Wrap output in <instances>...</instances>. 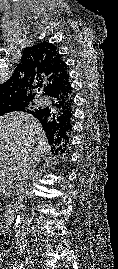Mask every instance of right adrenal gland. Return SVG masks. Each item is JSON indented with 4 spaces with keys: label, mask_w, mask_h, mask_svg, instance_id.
<instances>
[{
    "label": "right adrenal gland",
    "mask_w": 118,
    "mask_h": 269,
    "mask_svg": "<svg viewBox=\"0 0 118 269\" xmlns=\"http://www.w3.org/2000/svg\"><path fill=\"white\" fill-rule=\"evenodd\" d=\"M35 168H36V165L33 167V173H34V171H35Z\"/></svg>",
    "instance_id": "obj_1"
}]
</instances>
